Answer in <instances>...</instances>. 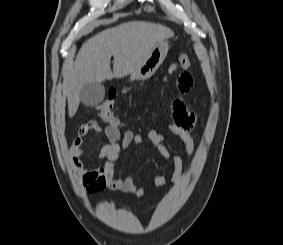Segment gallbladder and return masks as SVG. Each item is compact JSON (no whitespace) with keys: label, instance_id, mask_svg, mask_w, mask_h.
<instances>
[{"label":"gallbladder","instance_id":"1","mask_svg":"<svg viewBox=\"0 0 283 245\" xmlns=\"http://www.w3.org/2000/svg\"><path fill=\"white\" fill-rule=\"evenodd\" d=\"M105 96V88L101 83H86L80 90V101L86 106L98 105Z\"/></svg>","mask_w":283,"mask_h":245}]
</instances>
